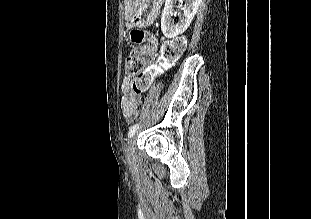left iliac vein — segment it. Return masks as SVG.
I'll list each match as a JSON object with an SVG mask.
<instances>
[{"mask_svg": "<svg viewBox=\"0 0 311 219\" xmlns=\"http://www.w3.org/2000/svg\"><path fill=\"white\" fill-rule=\"evenodd\" d=\"M134 137H132L127 144L126 147V159L129 163H133L134 161Z\"/></svg>", "mask_w": 311, "mask_h": 219, "instance_id": "1", "label": "left iliac vein"}]
</instances>
